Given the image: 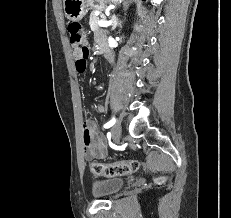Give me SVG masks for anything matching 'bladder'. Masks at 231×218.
Returning a JSON list of instances; mask_svg holds the SVG:
<instances>
[{"instance_id": "31cf9c89", "label": "bladder", "mask_w": 231, "mask_h": 218, "mask_svg": "<svg viewBox=\"0 0 231 218\" xmlns=\"http://www.w3.org/2000/svg\"><path fill=\"white\" fill-rule=\"evenodd\" d=\"M125 185L122 178H109L96 180L93 184L92 193L94 197L106 198L116 194Z\"/></svg>"}]
</instances>
